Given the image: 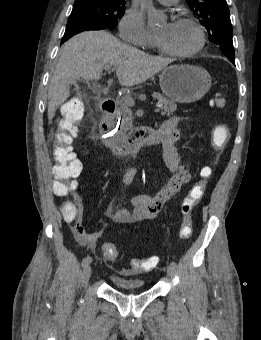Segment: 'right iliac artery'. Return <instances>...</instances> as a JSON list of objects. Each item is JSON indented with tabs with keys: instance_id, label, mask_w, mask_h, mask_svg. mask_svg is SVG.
Instances as JSON below:
<instances>
[{
	"instance_id": "1",
	"label": "right iliac artery",
	"mask_w": 261,
	"mask_h": 340,
	"mask_svg": "<svg viewBox=\"0 0 261 340\" xmlns=\"http://www.w3.org/2000/svg\"><path fill=\"white\" fill-rule=\"evenodd\" d=\"M92 262V258L90 256H86L82 261V266L85 267Z\"/></svg>"
}]
</instances>
